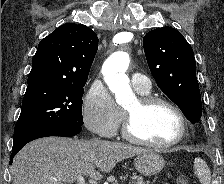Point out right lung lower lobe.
Segmentation results:
<instances>
[{"mask_svg": "<svg viewBox=\"0 0 224 184\" xmlns=\"http://www.w3.org/2000/svg\"><path fill=\"white\" fill-rule=\"evenodd\" d=\"M81 127L74 126H42L27 130L23 132L18 137L13 140V148L10 157V164H12V159L16 153L28 142L47 136H62V137H72L80 133Z\"/></svg>", "mask_w": 224, "mask_h": 184, "instance_id": "1", "label": "right lung lower lobe"}]
</instances>
